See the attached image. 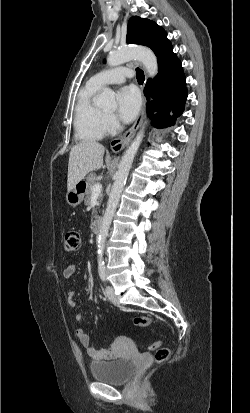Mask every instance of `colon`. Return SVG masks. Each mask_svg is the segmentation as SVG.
Segmentation results:
<instances>
[{
    "instance_id": "1",
    "label": "colon",
    "mask_w": 250,
    "mask_h": 413,
    "mask_svg": "<svg viewBox=\"0 0 250 413\" xmlns=\"http://www.w3.org/2000/svg\"><path fill=\"white\" fill-rule=\"evenodd\" d=\"M81 246L80 234L76 231H69L65 234L64 248L68 252L78 251ZM133 323L138 327H146L153 323V318L148 316H136ZM149 350L155 351V359L157 362H164L170 356V350L162 346L161 341H156L149 345Z\"/></svg>"
}]
</instances>
